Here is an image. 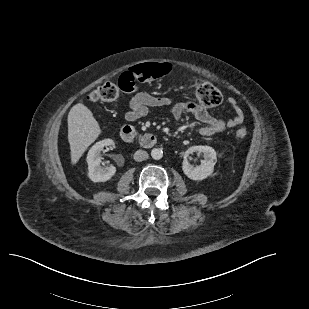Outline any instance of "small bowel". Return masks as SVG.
Listing matches in <instances>:
<instances>
[{
  "label": "small bowel",
  "mask_w": 309,
  "mask_h": 309,
  "mask_svg": "<svg viewBox=\"0 0 309 309\" xmlns=\"http://www.w3.org/2000/svg\"><path fill=\"white\" fill-rule=\"evenodd\" d=\"M125 87L127 89L132 88L131 82L127 81ZM133 90L134 88H132ZM228 104L234 110L235 115L229 119H219L212 116L206 108L191 100L174 102L169 97H158L147 92H138L130 98L125 118L128 121H135L149 115L155 108L169 107V112L174 119H180L187 113L192 114L203 124L199 133L202 136H212L226 129L234 128L243 122L244 114L237 100L229 98Z\"/></svg>",
  "instance_id": "c3829d8e"
}]
</instances>
